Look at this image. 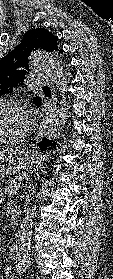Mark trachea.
<instances>
[{
	"mask_svg": "<svg viewBox=\"0 0 113 279\" xmlns=\"http://www.w3.org/2000/svg\"><path fill=\"white\" fill-rule=\"evenodd\" d=\"M44 89H49V88L47 86H45Z\"/></svg>",
	"mask_w": 113,
	"mask_h": 279,
	"instance_id": "trachea-1",
	"label": "trachea"
}]
</instances>
